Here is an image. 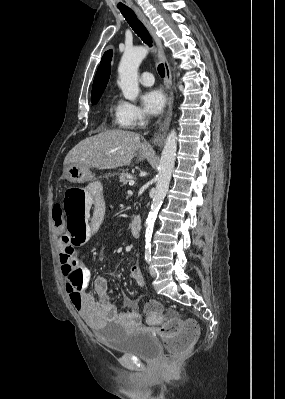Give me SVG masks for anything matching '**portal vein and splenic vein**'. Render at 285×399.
<instances>
[{"instance_id": "portal-vein-and-splenic-vein-1", "label": "portal vein and splenic vein", "mask_w": 285, "mask_h": 399, "mask_svg": "<svg viewBox=\"0 0 285 399\" xmlns=\"http://www.w3.org/2000/svg\"><path fill=\"white\" fill-rule=\"evenodd\" d=\"M134 184H135V181H134V180H130V181H129V185H130V186H133Z\"/></svg>"}]
</instances>
